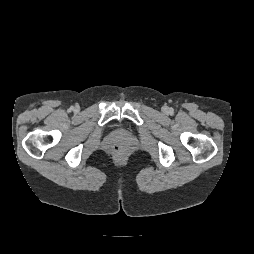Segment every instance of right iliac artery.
<instances>
[{
  "mask_svg": "<svg viewBox=\"0 0 254 254\" xmlns=\"http://www.w3.org/2000/svg\"><path fill=\"white\" fill-rule=\"evenodd\" d=\"M73 110V107H70V111Z\"/></svg>",
  "mask_w": 254,
  "mask_h": 254,
  "instance_id": "right-iliac-artery-1",
  "label": "right iliac artery"
}]
</instances>
